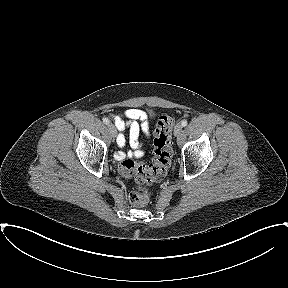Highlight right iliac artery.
Returning a JSON list of instances; mask_svg holds the SVG:
<instances>
[{
    "instance_id": "obj_1",
    "label": "right iliac artery",
    "mask_w": 288,
    "mask_h": 288,
    "mask_svg": "<svg viewBox=\"0 0 288 288\" xmlns=\"http://www.w3.org/2000/svg\"><path fill=\"white\" fill-rule=\"evenodd\" d=\"M103 122L106 124V125H109L110 121L108 118L104 117L103 118Z\"/></svg>"
}]
</instances>
